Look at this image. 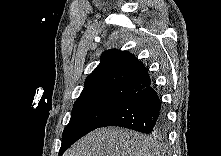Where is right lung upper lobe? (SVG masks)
<instances>
[{
	"mask_svg": "<svg viewBox=\"0 0 221 156\" xmlns=\"http://www.w3.org/2000/svg\"><path fill=\"white\" fill-rule=\"evenodd\" d=\"M150 85L143 63L127 51L111 49L101 54L100 64L86 78L79 98L107 96L128 99Z\"/></svg>",
	"mask_w": 221,
	"mask_h": 156,
	"instance_id": "right-lung-upper-lobe-1",
	"label": "right lung upper lobe"
}]
</instances>
